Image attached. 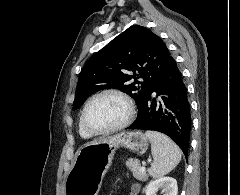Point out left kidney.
<instances>
[{
    "instance_id": "left-kidney-1",
    "label": "left kidney",
    "mask_w": 240,
    "mask_h": 195,
    "mask_svg": "<svg viewBox=\"0 0 240 195\" xmlns=\"http://www.w3.org/2000/svg\"><path fill=\"white\" fill-rule=\"evenodd\" d=\"M160 187H163V195H177L178 187L174 177H159L155 181H150L145 187L146 195H157Z\"/></svg>"
}]
</instances>
